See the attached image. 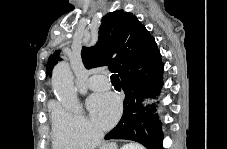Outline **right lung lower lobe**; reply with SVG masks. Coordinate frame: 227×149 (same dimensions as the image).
I'll list each match as a JSON object with an SVG mask.
<instances>
[{
	"label": "right lung lower lobe",
	"mask_w": 227,
	"mask_h": 149,
	"mask_svg": "<svg viewBox=\"0 0 227 149\" xmlns=\"http://www.w3.org/2000/svg\"><path fill=\"white\" fill-rule=\"evenodd\" d=\"M162 79L161 57L121 78L125 92L124 113L105 139H128L139 142L147 149H163L161 123L158 122L157 114H154L155 109L148 110V106L144 107L142 104L145 98L159 94L163 85Z\"/></svg>",
	"instance_id": "right-lung-lower-lobe-1"
}]
</instances>
